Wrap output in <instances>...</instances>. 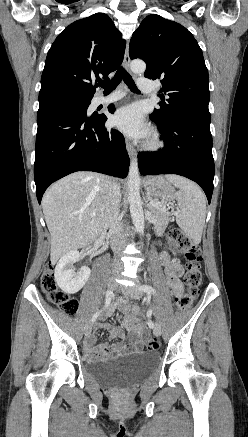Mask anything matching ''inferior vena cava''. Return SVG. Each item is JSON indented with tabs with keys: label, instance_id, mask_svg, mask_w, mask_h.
<instances>
[{
	"label": "inferior vena cava",
	"instance_id": "602c4592",
	"mask_svg": "<svg viewBox=\"0 0 248 437\" xmlns=\"http://www.w3.org/2000/svg\"><path fill=\"white\" fill-rule=\"evenodd\" d=\"M121 201L120 187L114 179L107 178V195L105 201V227L111 231V248L114 254H118L125 245L123 235V223L119 216ZM120 265L118 260H114V266Z\"/></svg>",
	"mask_w": 248,
	"mask_h": 437
}]
</instances>
